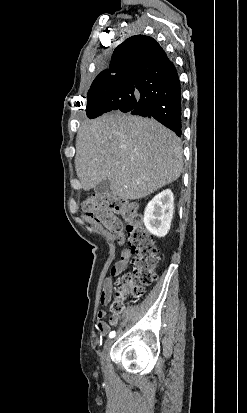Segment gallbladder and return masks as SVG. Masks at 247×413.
I'll list each match as a JSON object with an SVG mask.
<instances>
[{
  "instance_id": "bac80fb5",
  "label": "gallbladder",
  "mask_w": 247,
  "mask_h": 413,
  "mask_svg": "<svg viewBox=\"0 0 247 413\" xmlns=\"http://www.w3.org/2000/svg\"><path fill=\"white\" fill-rule=\"evenodd\" d=\"M94 190L98 196H106V194H111L110 180H108V178H106V180H101L99 184L94 186Z\"/></svg>"
}]
</instances>
